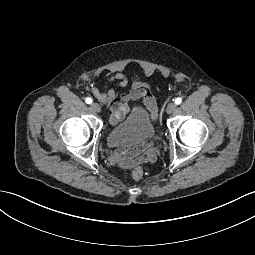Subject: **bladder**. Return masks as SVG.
<instances>
[{
	"label": "bladder",
	"mask_w": 255,
	"mask_h": 255,
	"mask_svg": "<svg viewBox=\"0 0 255 255\" xmlns=\"http://www.w3.org/2000/svg\"><path fill=\"white\" fill-rule=\"evenodd\" d=\"M157 128L153 117L142 106H134L119 122L112 125L106 134L112 147L130 148L153 141Z\"/></svg>",
	"instance_id": "bladder-1"
}]
</instances>
